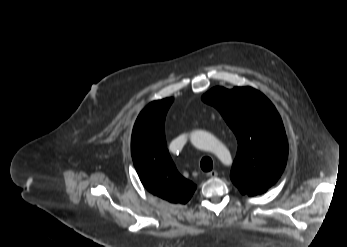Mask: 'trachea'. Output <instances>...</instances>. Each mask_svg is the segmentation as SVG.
<instances>
[{
    "label": "trachea",
    "instance_id": "trachea-1",
    "mask_svg": "<svg viewBox=\"0 0 347 247\" xmlns=\"http://www.w3.org/2000/svg\"><path fill=\"white\" fill-rule=\"evenodd\" d=\"M201 169L205 172L211 171L213 168V162L211 158L209 157H204L202 158L200 162Z\"/></svg>",
    "mask_w": 347,
    "mask_h": 247
}]
</instances>
